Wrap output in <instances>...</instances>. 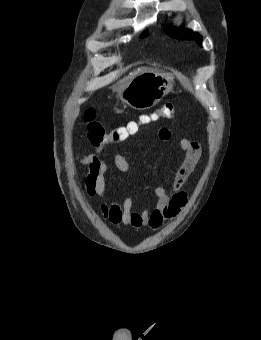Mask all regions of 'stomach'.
<instances>
[{"mask_svg": "<svg viewBox=\"0 0 261 340\" xmlns=\"http://www.w3.org/2000/svg\"><path fill=\"white\" fill-rule=\"evenodd\" d=\"M173 88V79L168 74L149 70L138 74L130 82L117 88L121 101L136 110L155 106Z\"/></svg>", "mask_w": 261, "mask_h": 340, "instance_id": "1", "label": "stomach"}]
</instances>
